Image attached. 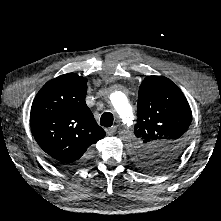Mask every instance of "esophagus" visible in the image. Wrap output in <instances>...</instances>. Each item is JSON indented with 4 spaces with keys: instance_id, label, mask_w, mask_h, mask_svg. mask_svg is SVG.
Returning <instances> with one entry per match:
<instances>
[{
    "instance_id": "1",
    "label": "esophagus",
    "mask_w": 221,
    "mask_h": 221,
    "mask_svg": "<svg viewBox=\"0 0 221 221\" xmlns=\"http://www.w3.org/2000/svg\"><path fill=\"white\" fill-rule=\"evenodd\" d=\"M116 130H117V127H116V126H112V127L108 128V129L106 130V132H107V134H108L109 136H112V135L116 132Z\"/></svg>"
}]
</instances>
